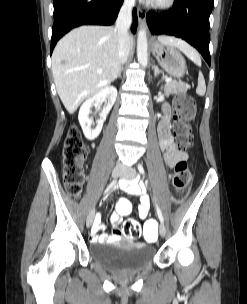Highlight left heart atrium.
Listing matches in <instances>:
<instances>
[{"label":"left heart atrium","mask_w":247,"mask_h":304,"mask_svg":"<svg viewBox=\"0 0 247 304\" xmlns=\"http://www.w3.org/2000/svg\"><path fill=\"white\" fill-rule=\"evenodd\" d=\"M146 1H151V2H152V1H154V0H146Z\"/></svg>","instance_id":"1"}]
</instances>
